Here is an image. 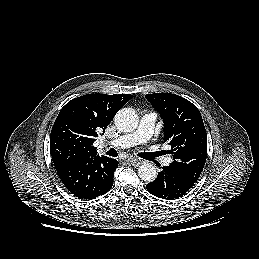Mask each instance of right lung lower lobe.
Instances as JSON below:
<instances>
[{
    "label": "right lung lower lobe",
    "mask_w": 259,
    "mask_h": 259,
    "mask_svg": "<svg viewBox=\"0 0 259 259\" xmlns=\"http://www.w3.org/2000/svg\"><path fill=\"white\" fill-rule=\"evenodd\" d=\"M118 164L116 159L98 156L79 159L56 170L72 194L81 199H93L111 189Z\"/></svg>",
    "instance_id": "right-lung-lower-lobe-1"
}]
</instances>
